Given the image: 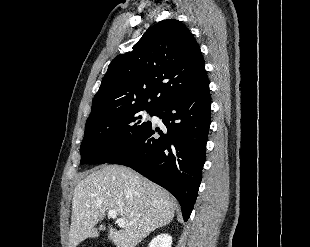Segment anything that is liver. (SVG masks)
Wrapping results in <instances>:
<instances>
[{"label":"liver","instance_id":"liver-1","mask_svg":"<svg viewBox=\"0 0 310 247\" xmlns=\"http://www.w3.org/2000/svg\"><path fill=\"white\" fill-rule=\"evenodd\" d=\"M176 205L163 188L130 168L103 166L74 189L68 247L94 236V227L109 210H115L126 225L119 231L109 225L108 238L117 247H135L172 221Z\"/></svg>","mask_w":310,"mask_h":247}]
</instances>
